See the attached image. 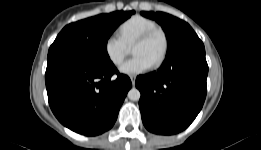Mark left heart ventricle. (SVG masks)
<instances>
[{
	"label": "left heart ventricle",
	"instance_id": "1",
	"mask_svg": "<svg viewBox=\"0 0 261 150\" xmlns=\"http://www.w3.org/2000/svg\"><path fill=\"white\" fill-rule=\"evenodd\" d=\"M163 49V38L160 34L155 35L146 43L135 45L132 48L133 55H142L152 64L158 59Z\"/></svg>",
	"mask_w": 261,
	"mask_h": 150
}]
</instances>
